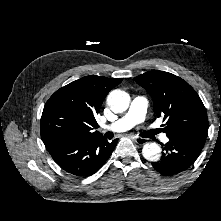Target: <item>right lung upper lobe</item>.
I'll use <instances>...</instances> for the list:
<instances>
[{
	"label": "right lung upper lobe",
	"mask_w": 221,
	"mask_h": 221,
	"mask_svg": "<svg viewBox=\"0 0 221 221\" xmlns=\"http://www.w3.org/2000/svg\"><path fill=\"white\" fill-rule=\"evenodd\" d=\"M122 80L90 75L57 90L43 109L42 140L100 135L95 117L108 92Z\"/></svg>",
	"instance_id": "right-lung-upper-lobe-1"
}]
</instances>
